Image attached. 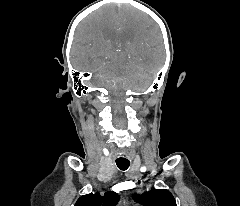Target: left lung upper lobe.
I'll use <instances>...</instances> for the list:
<instances>
[{
    "label": "left lung upper lobe",
    "instance_id": "left-lung-upper-lobe-1",
    "mask_svg": "<svg viewBox=\"0 0 240 206\" xmlns=\"http://www.w3.org/2000/svg\"><path fill=\"white\" fill-rule=\"evenodd\" d=\"M133 198L143 206H176L173 195L166 189H153L143 194H135Z\"/></svg>",
    "mask_w": 240,
    "mask_h": 206
}]
</instances>
